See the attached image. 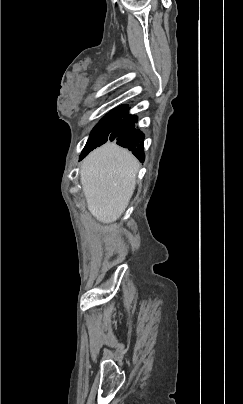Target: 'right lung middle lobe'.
<instances>
[{
    "mask_svg": "<svg viewBox=\"0 0 243 404\" xmlns=\"http://www.w3.org/2000/svg\"><path fill=\"white\" fill-rule=\"evenodd\" d=\"M127 108L128 105H122L113 109L94 127L87 144L80 155V160L88 155L90 151L107 142L114 124L123 115Z\"/></svg>",
    "mask_w": 243,
    "mask_h": 404,
    "instance_id": "right-lung-middle-lobe-1",
    "label": "right lung middle lobe"
}]
</instances>
